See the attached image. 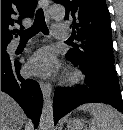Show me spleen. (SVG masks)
Listing matches in <instances>:
<instances>
[{"label":"spleen","mask_w":123,"mask_h":130,"mask_svg":"<svg viewBox=\"0 0 123 130\" xmlns=\"http://www.w3.org/2000/svg\"><path fill=\"white\" fill-rule=\"evenodd\" d=\"M79 110L89 111L92 115L89 130H123L120 114L110 106L89 103L80 106Z\"/></svg>","instance_id":"1"}]
</instances>
